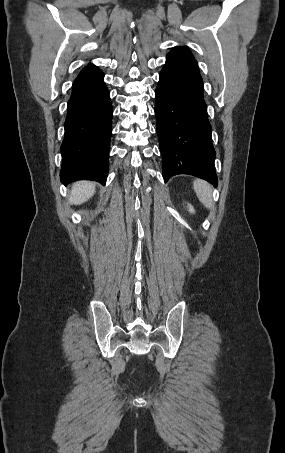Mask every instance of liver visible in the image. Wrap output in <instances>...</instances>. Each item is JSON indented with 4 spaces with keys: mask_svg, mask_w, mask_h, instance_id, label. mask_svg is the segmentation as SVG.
I'll use <instances>...</instances> for the list:
<instances>
[{
    "mask_svg": "<svg viewBox=\"0 0 285 453\" xmlns=\"http://www.w3.org/2000/svg\"><path fill=\"white\" fill-rule=\"evenodd\" d=\"M95 193V184L89 181L76 182L72 186L70 202L75 205L89 200Z\"/></svg>",
    "mask_w": 285,
    "mask_h": 453,
    "instance_id": "obj_1",
    "label": "liver"
}]
</instances>
